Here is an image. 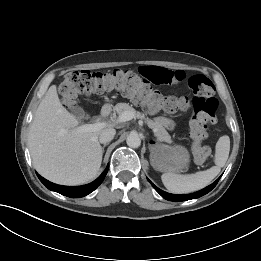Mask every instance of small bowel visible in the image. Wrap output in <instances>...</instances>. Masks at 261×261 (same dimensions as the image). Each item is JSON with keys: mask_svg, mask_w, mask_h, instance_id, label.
Returning <instances> with one entry per match:
<instances>
[{"mask_svg": "<svg viewBox=\"0 0 261 261\" xmlns=\"http://www.w3.org/2000/svg\"><path fill=\"white\" fill-rule=\"evenodd\" d=\"M140 73L149 81L158 85L175 84L185 78V73L181 70H170L158 66H144L140 68ZM158 122L164 127L171 128L172 122L164 117L158 118Z\"/></svg>", "mask_w": 261, "mask_h": 261, "instance_id": "small-bowel-1", "label": "small bowel"}]
</instances>
